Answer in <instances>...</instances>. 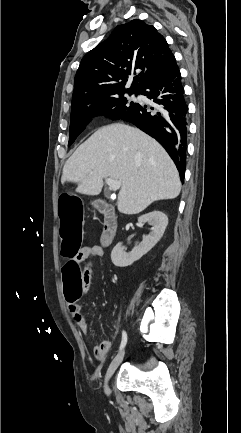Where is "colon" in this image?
Returning a JSON list of instances; mask_svg holds the SVG:
<instances>
[{"mask_svg":"<svg viewBox=\"0 0 241 433\" xmlns=\"http://www.w3.org/2000/svg\"><path fill=\"white\" fill-rule=\"evenodd\" d=\"M78 197L77 192H60L57 200L58 206H61L58 213V220L61 221L59 246L61 256L66 258L78 256L84 238L85 221L81 219L87 207L81 205ZM80 273V267L73 259H67L63 264L60 288L67 305L79 304L83 285Z\"/></svg>","mask_w":241,"mask_h":433,"instance_id":"colon-1","label":"colon"}]
</instances>
